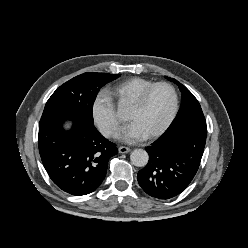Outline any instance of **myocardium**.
Returning a JSON list of instances; mask_svg holds the SVG:
<instances>
[{
    "mask_svg": "<svg viewBox=\"0 0 248 248\" xmlns=\"http://www.w3.org/2000/svg\"><path fill=\"white\" fill-rule=\"evenodd\" d=\"M167 87L168 89H170V91L172 92L173 95V105H172V110L170 112L169 117L167 118V120L165 121V123L154 133L146 136L145 138L147 140H154L158 137H160L162 134H164L167 129L171 126V124L173 123L177 111H178V105H179V98H178V93L175 89V87L168 83V82H156L153 83L152 85H150L149 87H147L144 91L141 92V94L137 97V99L130 105V107L128 108V110L131 111H139L140 109L143 108L148 96L150 95V93L157 87Z\"/></svg>",
    "mask_w": 248,
    "mask_h": 248,
    "instance_id": "obj_1",
    "label": "myocardium"
}]
</instances>
